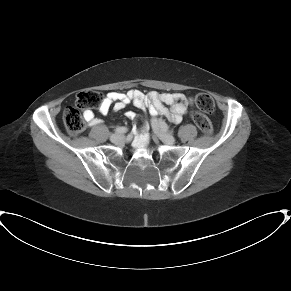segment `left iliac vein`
I'll use <instances>...</instances> for the list:
<instances>
[{"mask_svg": "<svg viewBox=\"0 0 291 291\" xmlns=\"http://www.w3.org/2000/svg\"><path fill=\"white\" fill-rule=\"evenodd\" d=\"M154 133L156 136L164 143L172 145L176 142L175 138L170 134L167 133L164 129H161L159 124H152Z\"/></svg>", "mask_w": 291, "mask_h": 291, "instance_id": "4c4485c4", "label": "left iliac vein"}]
</instances>
